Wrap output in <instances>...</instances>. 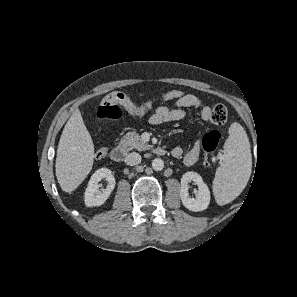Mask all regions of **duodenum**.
<instances>
[{"label": "duodenum", "instance_id": "obj_1", "mask_svg": "<svg viewBox=\"0 0 297 297\" xmlns=\"http://www.w3.org/2000/svg\"><path fill=\"white\" fill-rule=\"evenodd\" d=\"M154 153L159 156H163L167 153V150L163 147H155L153 149ZM128 153V149L125 145H117L111 151V158L115 162H122Z\"/></svg>", "mask_w": 297, "mask_h": 297}]
</instances>
